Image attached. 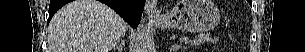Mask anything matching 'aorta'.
Here are the masks:
<instances>
[{"label": "aorta", "instance_id": "1", "mask_svg": "<svg viewBox=\"0 0 305 52\" xmlns=\"http://www.w3.org/2000/svg\"><path fill=\"white\" fill-rule=\"evenodd\" d=\"M135 52H151L152 42L149 38L147 27L145 25V19H143L137 28L135 35Z\"/></svg>", "mask_w": 305, "mask_h": 52}]
</instances>
